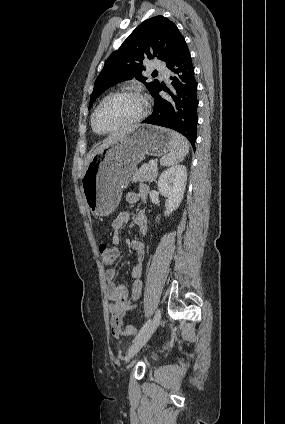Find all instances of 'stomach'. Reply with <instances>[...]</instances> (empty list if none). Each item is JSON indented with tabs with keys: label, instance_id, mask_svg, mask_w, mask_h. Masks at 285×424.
I'll return each mask as SVG.
<instances>
[{
	"label": "stomach",
	"instance_id": "obj_1",
	"mask_svg": "<svg viewBox=\"0 0 285 424\" xmlns=\"http://www.w3.org/2000/svg\"><path fill=\"white\" fill-rule=\"evenodd\" d=\"M173 132L152 125H139L117 142L97 153L82 176L81 188L89 211L108 216L119 204L123 189L132 181L146 155L162 156L171 151Z\"/></svg>",
	"mask_w": 285,
	"mask_h": 424
}]
</instances>
